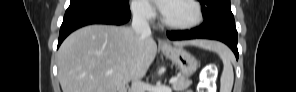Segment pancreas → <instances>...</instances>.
Wrapping results in <instances>:
<instances>
[{
	"label": "pancreas",
	"mask_w": 296,
	"mask_h": 92,
	"mask_svg": "<svg viewBox=\"0 0 296 92\" xmlns=\"http://www.w3.org/2000/svg\"><path fill=\"white\" fill-rule=\"evenodd\" d=\"M177 78H178L177 81L172 85V88L176 92H182L192 84V81L185 78L184 76H179Z\"/></svg>",
	"instance_id": "obj_1"
}]
</instances>
